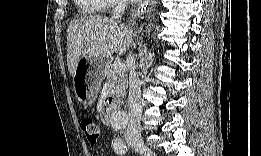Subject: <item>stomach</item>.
Returning <instances> with one entry per match:
<instances>
[{"label":"stomach","mask_w":261,"mask_h":156,"mask_svg":"<svg viewBox=\"0 0 261 156\" xmlns=\"http://www.w3.org/2000/svg\"><path fill=\"white\" fill-rule=\"evenodd\" d=\"M81 60V59H80ZM84 72L80 71V64L77 66L73 77L74 91L77 99L84 105H91L95 102L102 82V73L107 60L94 57L86 59Z\"/></svg>","instance_id":"obj_1"}]
</instances>
